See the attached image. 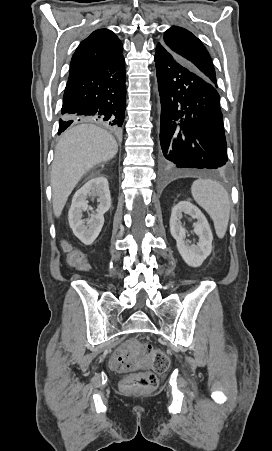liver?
<instances>
[{"label": "liver", "instance_id": "liver-1", "mask_svg": "<svg viewBox=\"0 0 272 451\" xmlns=\"http://www.w3.org/2000/svg\"><path fill=\"white\" fill-rule=\"evenodd\" d=\"M118 144L103 128L95 124H82L68 128L62 134L56 148L51 170L53 212L56 218L72 190L86 172L100 162H108L116 156Z\"/></svg>", "mask_w": 272, "mask_h": 451}]
</instances>
